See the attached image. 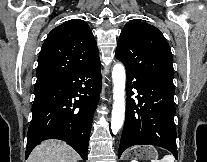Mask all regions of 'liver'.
<instances>
[{"label": "liver", "mask_w": 207, "mask_h": 162, "mask_svg": "<svg viewBox=\"0 0 207 162\" xmlns=\"http://www.w3.org/2000/svg\"><path fill=\"white\" fill-rule=\"evenodd\" d=\"M77 152L60 140H46L37 145L27 162H77Z\"/></svg>", "instance_id": "1"}]
</instances>
